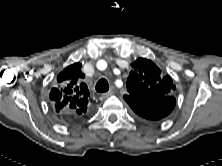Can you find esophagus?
Returning <instances> with one entry per match:
<instances>
[{
  "instance_id": "1",
  "label": "esophagus",
  "mask_w": 222,
  "mask_h": 166,
  "mask_svg": "<svg viewBox=\"0 0 222 166\" xmlns=\"http://www.w3.org/2000/svg\"><path fill=\"white\" fill-rule=\"evenodd\" d=\"M113 93H114L113 88H111V90H109L108 92L103 93V94L101 95V98H102V99H106V98H108L109 96H111Z\"/></svg>"
}]
</instances>
